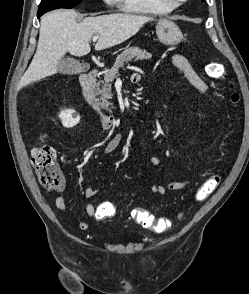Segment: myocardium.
I'll return each instance as SVG.
<instances>
[{
    "instance_id": "myocardium-1",
    "label": "myocardium",
    "mask_w": 249,
    "mask_h": 294,
    "mask_svg": "<svg viewBox=\"0 0 249 294\" xmlns=\"http://www.w3.org/2000/svg\"><path fill=\"white\" fill-rule=\"evenodd\" d=\"M163 1H165L166 3H168L169 5L173 7H178L188 0H163Z\"/></svg>"
}]
</instances>
